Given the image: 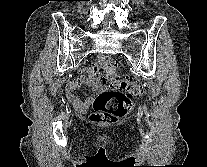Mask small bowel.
Returning a JSON list of instances; mask_svg holds the SVG:
<instances>
[{
    "label": "small bowel",
    "instance_id": "1",
    "mask_svg": "<svg viewBox=\"0 0 207 167\" xmlns=\"http://www.w3.org/2000/svg\"><path fill=\"white\" fill-rule=\"evenodd\" d=\"M83 84L90 86L94 91H97L100 87L99 82L90 76H80L75 81L70 82L67 85L66 87L67 98L70 101V103L73 105V107L81 113L85 112L91 106L94 100L93 96H89L84 101H81L75 95V90L80 85H83Z\"/></svg>",
    "mask_w": 207,
    "mask_h": 167
}]
</instances>
